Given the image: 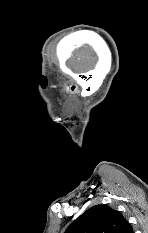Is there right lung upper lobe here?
<instances>
[{"mask_svg": "<svg viewBox=\"0 0 148 233\" xmlns=\"http://www.w3.org/2000/svg\"><path fill=\"white\" fill-rule=\"evenodd\" d=\"M65 233H134L122 214L107 205H96L78 217Z\"/></svg>", "mask_w": 148, "mask_h": 233, "instance_id": "1", "label": "right lung upper lobe"}]
</instances>
